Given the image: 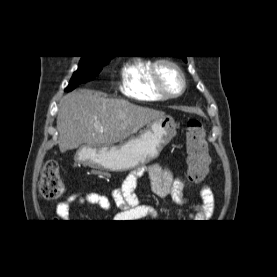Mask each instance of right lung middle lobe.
<instances>
[{"label": "right lung middle lobe", "instance_id": "obj_1", "mask_svg": "<svg viewBox=\"0 0 277 277\" xmlns=\"http://www.w3.org/2000/svg\"><path fill=\"white\" fill-rule=\"evenodd\" d=\"M111 58L112 57L83 56L66 90L71 91L78 83L93 79L101 71L102 67L109 63Z\"/></svg>", "mask_w": 277, "mask_h": 277}]
</instances>
